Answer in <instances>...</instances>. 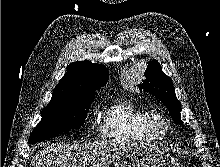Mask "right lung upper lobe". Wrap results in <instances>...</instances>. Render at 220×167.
I'll use <instances>...</instances> for the list:
<instances>
[{
  "label": "right lung upper lobe",
  "mask_w": 220,
  "mask_h": 167,
  "mask_svg": "<svg viewBox=\"0 0 220 167\" xmlns=\"http://www.w3.org/2000/svg\"><path fill=\"white\" fill-rule=\"evenodd\" d=\"M109 78L105 66L90 61L74 62L54 88L52 99H61L76 95H95L98 88L104 86Z\"/></svg>",
  "instance_id": "cb5924a9"
}]
</instances>
